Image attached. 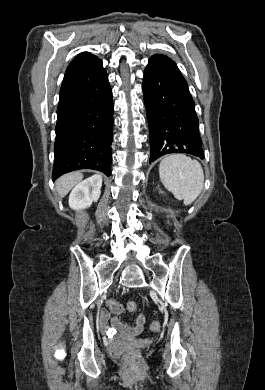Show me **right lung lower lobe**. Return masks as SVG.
Segmentation results:
<instances>
[{
	"mask_svg": "<svg viewBox=\"0 0 265 390\" xmlns=\"http://www.w3.org/2000/svg\"><path fill=\"white\" fill-rule=\"evenodd\" d=\"M112 91L102 61L64 78L55 128L53 181L84 168L111 175Z\"/></svg>",
	"mask_w": 265,
	"mask_h": 390,
	"instance_id": "right-lung-lower-lobe-1",
	"label": "right lung lower lobe"
}]
</instances>
